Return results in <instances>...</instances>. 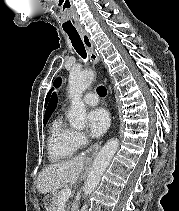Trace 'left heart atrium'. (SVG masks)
I'll return each mask as SVG.
<instances>
[{
    "label": "left heart atrium",
    "instance_id": "left-heart-atrium-1",
    "mask_svg": "<svg viewBox=\"0 0 179 211\" xmlns=\"http://www.w3.org/2000/svg\"><path fill=\"white\" fill-rule=\"evenodd\" d=\"M109 123V115L103 108L93 109L87 115L88 131L94 138L103 135L108 129Z\"/></svg>",
    "mask_w": 179,
    "mask_h": 211
}]
</instances>
